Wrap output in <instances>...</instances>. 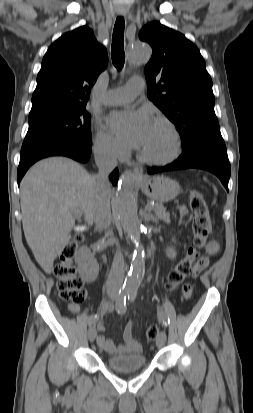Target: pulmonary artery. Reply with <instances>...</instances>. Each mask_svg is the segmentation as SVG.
<instances>
[{
  "label": "pulmonary artery",
  "mask_w": 253,
  "mask_h": 413,
  "mask_svg": "<svg viewBox=\"0 0 253 413\" xmlns=\"http://www.w3.org/2000/svg\"><path fill=\"white\" fill-rule=\"evenodd\" d=\"M142 90V82L132 79L124 87L106 92L102 102L108 106L121 105L132 101Z\"/></svg>",
  "instance_id": "1"
}]
</instances>
